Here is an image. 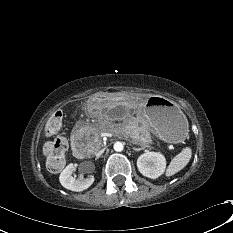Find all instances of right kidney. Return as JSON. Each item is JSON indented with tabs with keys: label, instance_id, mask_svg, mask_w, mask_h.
Listing matches in <instances>:
<instances>
[{
	"label": "right kidney",
	"instance_id": "ca27d5eb",
	"mask_svg": "<svg viewBox=\"0 0 233 233\" xmlns=\"http://www.w3.org/2000/svg\"><path fill=\"white\" fill-rule=\"evenodd\" d=\"M73 170L74 165L71 163L67 165L66 168L61 172L59 181L64 188L79 192L89 188L93 184V176H90L86 179L80 176L76 179L72 176Z\"/></svg>",
	"mask_w": 233,
	"mask_h": 233
}]
</instances>
